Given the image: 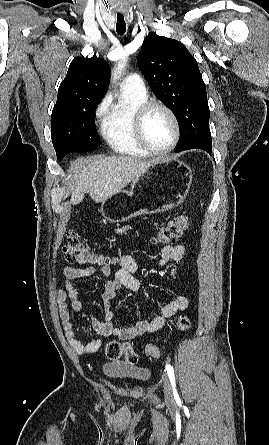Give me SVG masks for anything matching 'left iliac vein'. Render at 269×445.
<instances>
[{
  "label": "left iliac vein",
  "instance_id": "1",
  "mask_svg": "<svg viewBox=\"0 0 269 445\" xmlns=\"http://www.w3.org/2000/svg\"><path fill=\"white\" fill-rule=\"evenodd\" d=\"M163 387H164L165 398L167 400H171L172 396H173L172 386H171L170 380L167 375L163 376Z\"/></svg>",
  "mask_w": 269,
  "mask_h": 445
}]
</instances>
